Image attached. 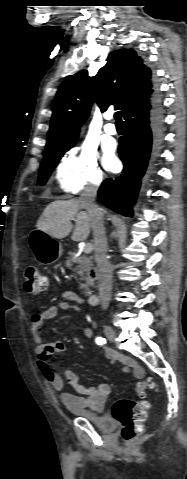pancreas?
Listing matches in <instances>:
<instances>
[{"instance_id":"obj_1","label":"pancreas","mask_w":187,"mask_h":479,"mask_svg":"<svg viewBox=\"0 0 187 479\" xmlns=\"http://www.w3.org/2000/svg\"><path fill=\"white\" fill-rule=\"evenodd\" d=\"M68 257L66 260V266L71 267L73 264L76 266L73 268V271L81 277V280H84V283L80 284V289H86L85 293L89 292L88 287L93 285L94 279L90 276L91 271V260L85 255L77 256L76 252H68Z\"/></svg>"}]
</instances>
